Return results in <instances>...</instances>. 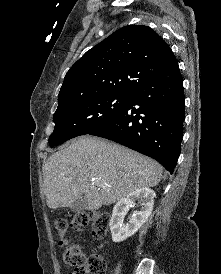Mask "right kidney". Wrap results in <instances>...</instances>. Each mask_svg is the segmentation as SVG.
I'll use <instances>...</instances> for the list:
<instances>
[{
  "mask_svg": "<svg viewBox=\"0 0 221 274\" xmlns=\"http://www.w3.org/2000/svg\"><path fill=\"white\" fill-rule=\"evenodd\" d=\"M155 197L156 194L152 189L147 187L140 188L122 198L114 206L109 223L113 242L117 243L124 241L140 229L153 210ZM136 201L140 203V210L134 212L129 222L126 225H123L124 216L129 208L136 205Z\"/></svg>",
  "mask_w": 221,
  "mask_h": 274,
  "instance_id": "obj_1",
  "label": "right kidney"
}]
</instances>
